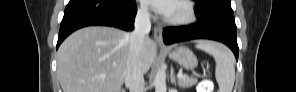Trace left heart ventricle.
<instances>
[{"mask_svg":"<svg viewBox=\"0 0 296 92\" xmlns=\"http://www.w3.org/2000/svg\"><path fill=\"white\" fill-rule=\"evenodd\" d=\"M181 13H182V8L179 5L175 4L174 9H173L172 13L169 15V17H177Z\"/></svg>","mask_w":296,"mask_h":92,"instance_id":"1","label":"left heart ventricle"}]
</instances>
